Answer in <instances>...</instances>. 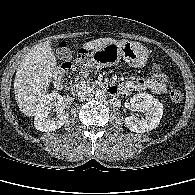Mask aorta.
Wrapping results in <instances>:
<instances>
[{"mask_svg":"<svg viewBox=\"0 0 195 195\" xmlns=\"http://www.w3.org/2000/svg\"><path fill=\"white\" fill-rule=\"evenodd\" d=\"M95 97L100 100L104 99L106 97V92L104 90H97Z\"/></svg>","mask_w":195,"mask_h":195,"instance_id":"1","label":"aorta"}]
</instances>
